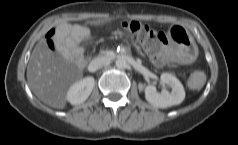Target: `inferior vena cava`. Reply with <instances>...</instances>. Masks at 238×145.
Segmentation results:
<instances>
[{
    "label": "inferior vena cava",
    "mask_w": 238,
    "mask_h": 145,
    "mask_svg": "<svg viewBox=\"0 0 238 145\" xmlns=\"http://www.w3.org/2000/svg\"><path fill=\"white\" fill-rule=\"evenodd\" d=\"M107 62V59L105 57H97L93 59L89 64V70L90 71H96L100 69L103 65H105Z\"/></svg>",
    "instance_id": "1"
}]
</instances>
